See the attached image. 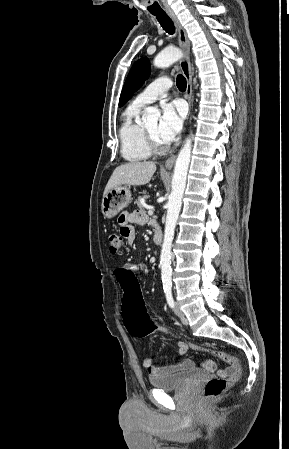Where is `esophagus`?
Segmentation results:
<instances>
[{"label": "esophagus", "mask_w": 289, "mask_h": 449, "mask_svg": "<svg viewBox=\"0 0 289 449\" xmlns=\"http://www.w3.org/2000/svg\"><path fill=\"white\" fill-rule=\"evenodd\" d=\"M168 15L177 27L179 45L185 54V56L180 60V68L186 78V81H187L185 98L187 99L189 107H190L191 100H192V69H191V63L189 60L190 42L188 40L186 31L183 28V26L181 25L177 16L173 12H168ZM175 159H176V155H172L171 157H169L165 162V168L171 169L174 165Z\"/></svg>", "instance_id": "1"}]
</instances>
